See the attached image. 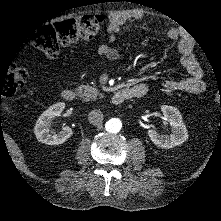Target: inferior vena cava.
<instances>
[{
    "instance_id": "1",
    "label": "inferior vena cava",
    "mask_w": 221,
    "mask_h": 221,
    "mask_svg": "<svg viewBox=\"0 0 221 221\" xmlns=\"http://www.w3.org/2000/svg\"><path fill=\"white\" fill-rule=\"evenodd\" d=\"M103 119H104L103 113L99 109L92 110L88 114V121L90 124H92L94 126L101 125L103 122Z\"/></svg>"
}]
</instances>
